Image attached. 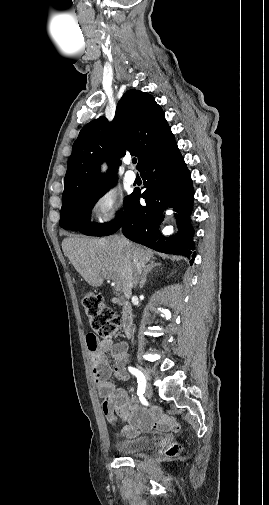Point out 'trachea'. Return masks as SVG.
Returning <instances> with one entry per match:
<instances>
[{"label":"trachea","mask_w":269,"mask_h":505,"mask_svg":"<svg viewBox=\"0 0 269 505\" xmlns=\"http://www.w3.org/2000/svg\"><path fill=\"white\" fill-rule=\"evenodd\" d=\"M132 162L135 164L137 162V159L133 158Z\"/></svg>","instance_id":"obj_1"}]
</instances>
